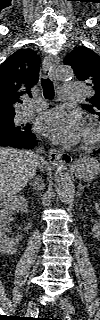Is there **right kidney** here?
I'll use <instances>...</instances> for the list:
<instances>
[{
  "label": "right kidney",
  "instance_id": "1",
  "mask_svg": "<svg viewBox=\"0 0 100 320\" xmlns=\"http://www.w3.org/2000/svg\"><path fill=\"white\" fill-rule=\"evenodd\" d=\"M0 210V248L4 253L13 254L16 252V245L21 240L20 236L8 237L9 217L16 211L20 213L28 212V202L24 196L14 195L7 201L1 203Z\"/></svg>",
  "mask_w": 100,
  "mask_h": 320
}]
</instances>
